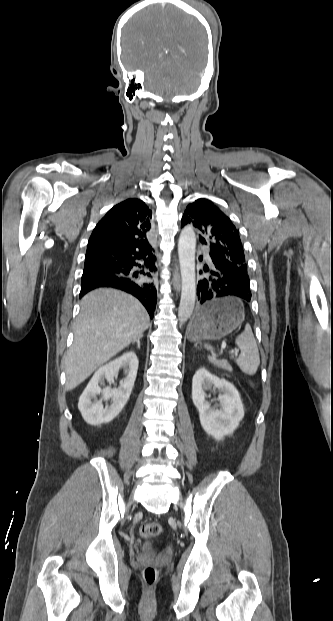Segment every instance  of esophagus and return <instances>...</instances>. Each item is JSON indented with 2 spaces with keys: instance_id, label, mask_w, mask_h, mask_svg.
Segmentation results:
<instances>
[{
  "instance_id": "esophagus-1",
  "label": "esophagus",
  "mask_w": 333,
  "mask_h": 621,
  "mask_svg": "<svg viewBox=\"0 0 333 621\" xmlns=\"http://www.w3.org/2000/svg\"><path fill=\"white\" fill-rule=\"evenodd\" d=\"M173 285L174 288L179 291L180 290V276L178 274V268L176 266L175 272H174V276H173Z\"/></svg>"
}]
</instances>
